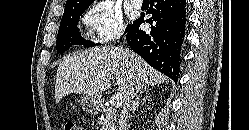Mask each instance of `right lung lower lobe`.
Returning <instances> with one entry per match:
<instances>
[{
  "label": "right lung lower lobe",
  "mask_w": 249,
  "mask_h": 130,
  "mask_svg": "<svg viewBox=\"0 0 249 130\" xmlns=\"http://www.w3.org/2000/svg\"><path fill=\"white\" fill-rule=\"evenodd\" d=\"M146 20L151 31L139 29L143 16L133 22L126 32V40L131 49L150 66L167 75L172 80L179 78V59L185 38L186 1L152 0Z\"/></svg>",
  "instance_id": "98d812e1"
}]
</instances>
